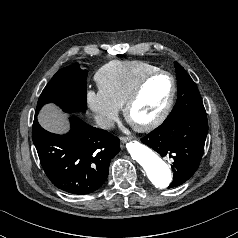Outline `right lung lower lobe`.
Segmentation results:
<instances>
[{"instance_id":"98d812e1","label":"right lung lower lobe","mask_w":238,"mask_h":238,"mask_svg":"<svg viewBox=\"0 0 238 238\" xmlns=\"http://www.w3.org/2000/svg\"><path fill=\"white\" fill-rule=\"evenodd\" d=\"M70 120V132L58 135L44 130L35 117L32 139L41 165L56 187L71 194H90L106 180L120 141L79 118Z\"/></svg>"}]
</instances>
